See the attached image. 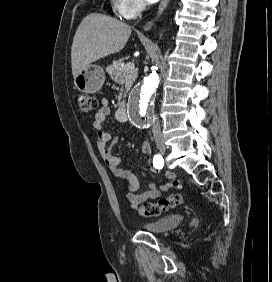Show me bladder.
Segmentation results:
<instances>
[{"label": "bladder", "mask_w": 272, "mask_h": 282, "mask_svg": "<svg viewBox=\"0 0 272 282\" xmlns=\"http://www.w3.org/2000/svg\"><path fill=\"white\" fill-rule=\"evenodd\" d=\"M183 220L181 214H173L159 220L141 224L142 229L150 232H162L176 227Z\"/></svg>", "instance_id": "1"}]
</instances>
